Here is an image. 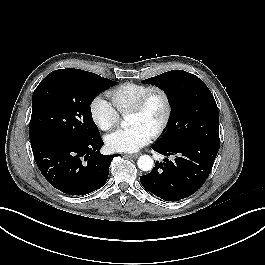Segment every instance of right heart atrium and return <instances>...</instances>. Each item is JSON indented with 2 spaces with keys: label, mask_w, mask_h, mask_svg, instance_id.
Segmentation results:
<instances>
[{
  "label": "right heart atrium",
  "mask_w": 265,
  "mask_h": 265,
  "mask_svg": "<svg viewBox=\"0 0 265 265\" xmlns=\"http://www.w3.org/2000/svg\"><path fill=\"white\" fill-rule=\"evenodd\" d=\"M89 113L93 123L102 131L114 128L120 118L117 110L102 96H97L92 100Z\"/></svg>",
  "instance_id": "right-heart-atrium-1"
}]
</instances>
